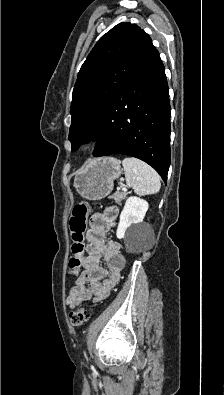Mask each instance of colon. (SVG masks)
I'll return each mask as SVG.
<instances>
[{"label": "colon", "mask_w": 224, "mask_h": 395, "mask_svg": "<svg viewBox=\"0 0 224 395\" xmlns=\"http://www.w3.org/2000/svg\"><path fill=\"white\" fill-rule=\"evenodd\" d=\"M91 212V207L86 203L77 204L72 211L69 221L71 233V250L73 256L69 260V271L72 275L78 273L82 266V256L85 251L84 233L87 227V218ZM88 311L84 307H76L69 313L70 323L79 327L88 320Z\"/></svg>", "instance_id": "obj_1"}]
</instances>
